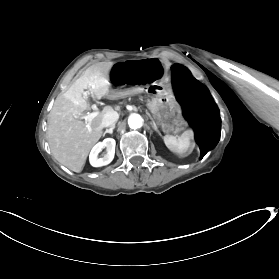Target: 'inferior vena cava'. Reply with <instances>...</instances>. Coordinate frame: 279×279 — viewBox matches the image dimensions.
Instances as JSON below:
<instances>
[{
  "mask_svg": "<svg viewBox=\"0 0 279 279\" xmlns=\"http://www.w3.org/2000/svg\"><path fill=\"white\" fill-rule=\"evenodd\" d=\"M104 116L105 117H104L103 121H105V122H102V125L105 124V127H109L112 123H115V121H117L119 118V115L117 114V112H114V113L107 112V114H105Z\"/></svg>",
  "mask_w": 279,
  "mask_h": 279,
  "instance_id": "1",
  "label": "inferior vena cava"
}]
</instances>
